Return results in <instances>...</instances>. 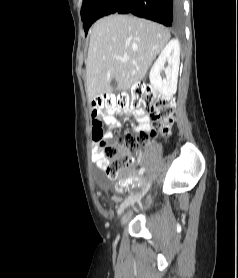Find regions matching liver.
Here are the masks:
<instances>
[{
	"instance_id": "6515ba94",
	"label": "liver",
	"mask_w": 238,
	"mask_h": 278,
	"mask_svg": "<svg viewBox=\"0 0 238 278\" xmlns=\"http://www.w3.org/2000/svg\"><path fill=\"white\" fill-rule=\"evenodd\" d=\"M171 35L164 26L131 15H110L91 30L86 60L89 101L115 90L130 89L141 81ZM124 56L129 60L122 61Z\"/></svg>"
}]
</instances>
